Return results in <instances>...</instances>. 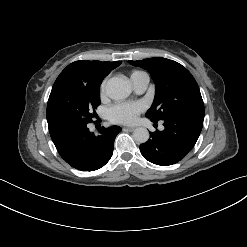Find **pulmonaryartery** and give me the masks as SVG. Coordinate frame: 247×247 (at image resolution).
I'll use <instances>...</instances> for the list:
<instances>
[{
	"label": "pulmonary artery",
	"instance_id": "1",
	"mask_svg": "<svg viewBox=\"0 0 247 247\" xmlns=\"http://www.w3.org/2000/svg\"><path fill=\"white\" fill-rule=\"evenodd\" d=\"M148 82H149V78L146 74H140L131 77V84L133 90L138 94H141L146 90L148 86Z\"/></svg>",
	"mask_w": 247,
	"mask_h": 247
}]
</instances>
